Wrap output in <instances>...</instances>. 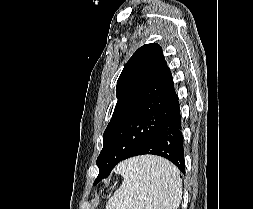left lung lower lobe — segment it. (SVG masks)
<instances>
[{"instance_id": "obj_1", "label": "left lung lower lobe", "mask_w": 253, "mask_h": 209, "mask_svg": "<svg viewBox=\"0 0 253 209\" xmlns=\"http://www.w3.org/2000/svg\"><path fill=\"white\" fill-rule=\"evenodd\" d=\"M144 154L162 156L174 163L182 173H185L183 136L181 131V115L179 104L176 111L169 118L167 123L133 156ZM111 171L112 170H109L106 173H102L100 176H98L94 184H97L103 178H106Z\"/></svg>"}]
</instances>
